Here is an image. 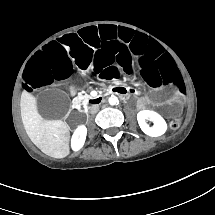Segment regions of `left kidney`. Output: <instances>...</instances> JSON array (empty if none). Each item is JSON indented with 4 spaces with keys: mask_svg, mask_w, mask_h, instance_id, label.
I'll return each instance as SVG.
<instances>
[{
    "mask_svg": "<svg viewBox=\"0 0 215 215\" xmlns=\"http://www.w3.org/2000/svg\"><path fill=\"white\" fill-rule=\"evenodd\" d=\"M137 120L141 130L149 136H160L166 131L164 119L154 111H140L137 114ZM152 121L153 127H150L146 121Z\"/></svg>",
    "mask_w": 215,
    "mask_h": 215,
    "instance_id": "obj_1",
    "label": "left kidney"
}]
</instances>
